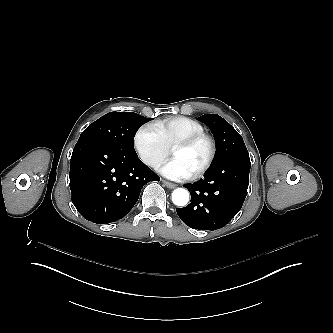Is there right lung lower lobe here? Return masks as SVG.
<instances>
[{
  "label": "right lung lower lobe",
  "mask_w": 333,
  "mask_h": 333,
  "mask_svg": "<svg viewBox=\"0 0 333 333\" xmlns=\"http://www.w3.org/2000/svg\"><path fill=\"white\" fill-rule=\"evenodd\" d=\"M69 177L72 203L85 219L97 224L123 218L137 202L142 187L160 180L137 155L90 137L75 145Z\"/></svg>",
  "instance_id": "right-lung-lower-lobe-1"
}]
</instances>
